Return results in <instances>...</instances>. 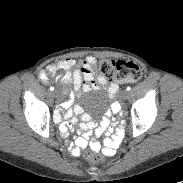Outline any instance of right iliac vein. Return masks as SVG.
Masks as SVG:
<instances>
[{
    "mask_svg": "<svg viewBox=\"0 0 183 183\" xmlns=\"http://www.w3.org/2000/svg\"><path fill=\"white\" fill-rule=\"evenodd\" d=\"M54 97L58 98L60 96V92L58 90H55L53 92Z\"/></svg>",
    "mask_w": 183,
    "mask_h": 183,
    "instance_id": "1",
    "label": "right iliac vein"
}]
</instances>
